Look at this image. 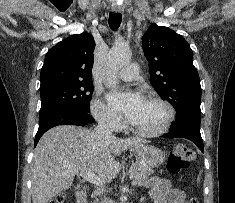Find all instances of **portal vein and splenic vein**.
<instances>
[{
  "instance_id": "18ae733b",
  "label": "portal vein and splenic vein",
  "mask_w": 235,
  "mask_h": 203,
  "mask_svg": "<svg viewBox=\"0 0 235 203\" xmlns=\"http://www.w3.org/2000/svg\"><path fill=\"white\" fill-rule=\"evenodd\" d=\"M80 176L82 178H84L85 180L89 181L92 184L103 186V183L101 182L100 178L97 175H95L93 172H91V171H88L86 173H80ZM136 184H137V182L134 179L132 181V185H136Z\"/></svg>"
}]
</instances>
